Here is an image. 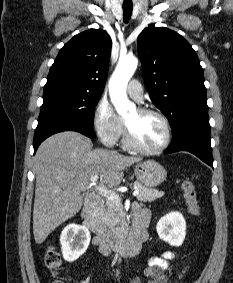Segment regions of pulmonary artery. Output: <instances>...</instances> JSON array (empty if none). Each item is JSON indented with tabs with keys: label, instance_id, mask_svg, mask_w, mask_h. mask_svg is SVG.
<instances>
[{
	"label": "pulmonary artery",
	"instance_id": "pulmonary-artery-1",
	"mask_svg": "<svg viewBox=\"0 0 233 283\" xmlns=\"http://www.w3.org/2000/svg\"><path fill=\"white\" fill-rule=\"evenodd\" d=\"M127 92L131 98L137 102H142L143 100V89L141 84L137 80H132L128 84Z\"/></svg>",
	"mask_w": 233,
	"mask_h": 283
}]
</instances>
